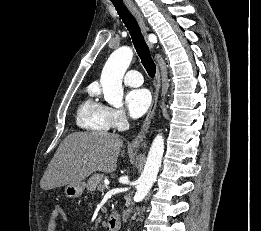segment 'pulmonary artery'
Instances as JSON below:
<instances>
[{
    "instance_id": "obj_1",
    "label": "pulmonary artery",
    "mask_w": 261,
    "mask_h": 231,
    "mask_svg": "<svg viewBox=\"0 0 261 231\" xmlns=\"http://www.w3.org/2000/svg\"><path fill=\"white\" fill-rule=\"evenodd\" d=\"M125 84L133 87H139L143 83L142 75L136 70H129L124 77Z\"/></svg>"
}]
</instances>
